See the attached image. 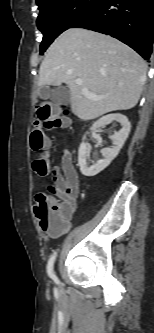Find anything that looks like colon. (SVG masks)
<instances>
[{
	"mask_svg": "<svg viewBox=\"0 0 154 333\" xmlns=\"http://www.w3.org/2000/svg\"><path fill=\"white\" fill-rule=\"evenodd\" d=\"M37 120L30 137L31 148L37 153L32 162L35 173L45 176L50 170L49 158L46 149L49 140L45 130L64 128L68 125L66 118L52 116L51 110L45 105L36 107ZM35 216L41 229L50 235L62 232L68 224V213L66 208L53 196L40 193L35 198L33 207Z\"/></svg>",
	"mask_w": 154,
	"mask_h": 333,
	"instance_id": "obj_1",
	"label": "colon"
}]
</instances>
